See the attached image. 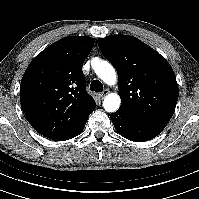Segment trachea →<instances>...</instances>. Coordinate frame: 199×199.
<instances>
[{"label": "trachea", "mask_w": 199, "mask_h": 199, "mask_svg": "<svg viewBox=\"0 0 199 199\" xmlns=\"http://www.w3.org/2000/svg\"><path fill=\"white\" fill-rule=\"evenodd\" d=\"M91 91L102 92L103 85L99 80H93L90 84Z\"/></svg>", "instance_id": "3493384b"}]
</instances>
